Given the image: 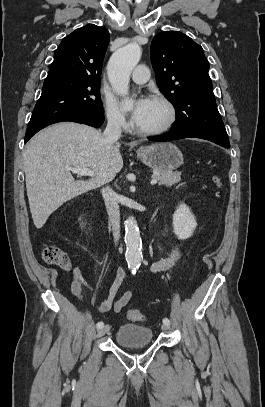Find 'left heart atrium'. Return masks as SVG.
<instances>
[{"instance_id": "39dd6f15", "label": "left heart atrium", "mask_w": 265, "mask_h": 407, "mask_svg": "<svg viewBox=\"0 0 265 407\" xmlns=\"http://www.w3.org/2000/svg\"><path fill=\"white\" fill-rule=\"evenodd\" d=\"M149 101H150V99H148V98H141L135 104L134 109L132 111V118L135 123L138 122L142 118L144 112L146 111V109L148 107Z\"/></svg>"}]
</instances>
